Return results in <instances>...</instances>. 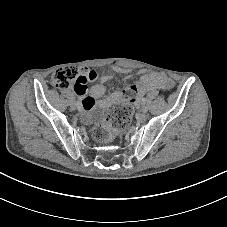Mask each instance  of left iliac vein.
I'll use <instances>...</instances> for the list:
<instances>
[{
  "mask_svg": "<svg viewBox=\"0 0 227 227\" xmlns=\"http://www.w3.org/2000/svg\"><path fill=\"white\" fill-rule=\"evenodd\" d=\"M148 112V107L146 105H143L140 110V115L144 116Z\"/></svg>",
  "mask_w": 227,
  "mask_h": 227,
  "instance_id": "left-iliac-vein-1",
  "label": "left iliac vein"
}]
</instances>
